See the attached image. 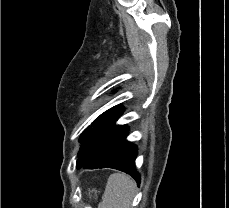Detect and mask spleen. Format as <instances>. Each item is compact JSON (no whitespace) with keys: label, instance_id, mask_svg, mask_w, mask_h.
Masks as SVG:
<instances>
[{"label":"spleen","instance_id":"3e777b00","mask_svg":"<svg viewBox=\"0 0 229 208\" xmlns=\"http://www.w3.org/2000/svg\"><path fill=\"white\" fill-rule=\"evenodd\" d=\"M136 184L126 174H111L99 208H130Z\"/></svg>","mask_w":229,"mask_h":208}]
</instances>
